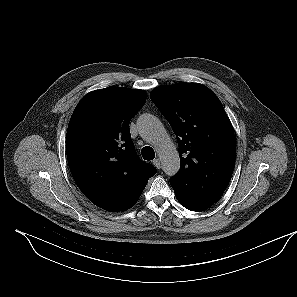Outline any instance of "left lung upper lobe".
<instances>
[{
	"instance_id": "5c2ea615",
	"label": "left lung upper lobe",
	"mask_w": 297,
	"mask_h": 297,
	"mask_svg": "<svg viewBox=\"0 0 297 297\" xmlns=\"http://www.w3.org/2000/svg\"><path fill=\"white\" fill-rule=\"evenodd\" d=\"M150 98L170 123L181 167L170 179L177 200L191 211H204L227 188L235 166L232 124L222 103L199 83L155 88Z\"/></svg>"
}]
</instances>
